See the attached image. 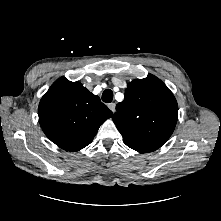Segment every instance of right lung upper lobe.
Masks as SVG:
<instances>
[{"mask_svg": "<svg viewBox=\"0 0 221 221\" xmlns=\"http://www.w3.org/2000/svg\"><path fill=\"white\" fill-rule=\"evenodd\" d=\"M38 116L46 136L60 148L74 152L92 142L112 111L80 82L61 77L42 97Z\"/></svg>", "mask_w": 221, "mask_h": 221, "instance_id": "right-lung-upper-lobe-1", "label": "right lung upper lobe"}]
</instances>
